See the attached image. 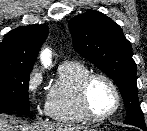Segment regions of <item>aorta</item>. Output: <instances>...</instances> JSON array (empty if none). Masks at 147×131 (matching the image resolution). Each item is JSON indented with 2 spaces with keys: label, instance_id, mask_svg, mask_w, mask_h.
<instances>
[{
  "label": "aorta",
  "instance_id": "aorta-1",
  "mask_svg": "<svg viewBox=\"0 0 147 131\" xmlns=\"http://www.w3.org/2000/svg\"><path fill=\"white\" fill-rule=\"evenodd\" d=\"M42 62L45 66H48L50 65V53L48 50H45L43 53H42Z\"/></svg>",
  "mask_w": 147,
  "mask_h": 131
}]
</instances>
